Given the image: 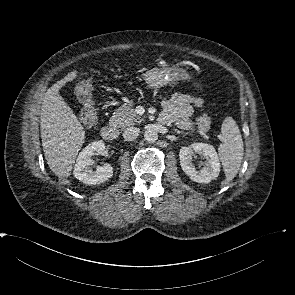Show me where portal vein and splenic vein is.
<instances>
[{
    "label": "portal vein and splenic vein",
    "instance_id": "18ae733b",
    "mask_svg": "<svg viewBox=\"0 0 295 295\" xmlns=\"http://www.w3.org/2000/svg\"><path fill=\"white\" fill-rule=\"evenodd\" d=\"M199 134H200L203 138L208 139V136H207L204 132H202L201 130H199Z\"/></svg>",
    "mask_w": 295,
    "mask_h": 295
}]
</instances>
